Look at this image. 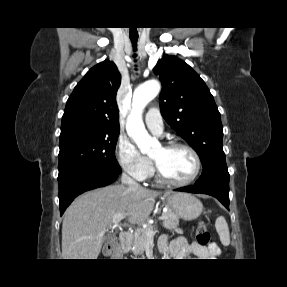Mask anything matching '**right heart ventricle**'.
I'll list each match as a JSON object with an SVG mask.
<instances>
[{
    "instance_id": "right-heart-ventricle-1",
    "label": "right heart ventricle",
    "mask_w": 287,
    "mask_h": 287,
    "mask_svg": "<svg viewBox=\"0 0 287 287\" xmlns=\"http://www.w3.org/2000/svg\"><path fill=\"white\" fill-rule=\"evenodd\" d=\"M154 176H155V171H154L152 164H151V169H150L148 177H154Z\"/></svg>"
}]
</instances>
